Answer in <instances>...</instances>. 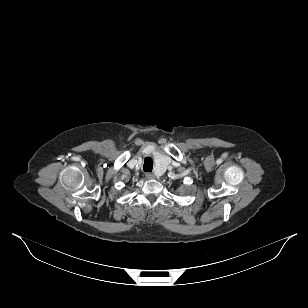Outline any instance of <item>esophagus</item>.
<instances>
[{
    "label": "esophagus",
    "mask_w": 308,
    "mask_h": 308,
    "mask_svg": "<svg viewBox=\"0 0 308 308\" xmlns=\"http://www.w3.org/2000/svg\"><path fill=\"white\" fill-rule=\"evenodd\" d=\"M145 176H146L147 179H153L154 178V174L151 173V172H146Z\"/></svg>",
    "instance_id": "obj_1"
}]
</instances>
